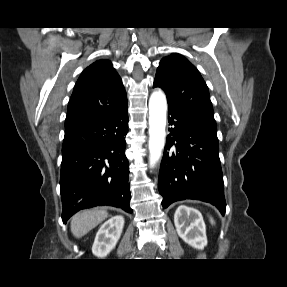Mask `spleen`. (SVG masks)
<instances>
[{
  "label": "spleen",
  "mask_w": 287,
  "mask_h": 287,
  "mask_svg": "<svg viewBox=\"0 0 287 287\" xmlns=\"http://www.w3.org/2000/svg\"><path fill=\"white\" fill-rule=\"evenodd\" d=\"M210 222H211L212 224H214V220H213V218H210Z\"/></svg>",
  "instance_id": "spleen-1"
}]
</instances>
